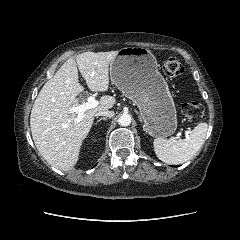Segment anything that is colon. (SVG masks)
Listing matches in <instances>:
<instances>
[{"instance_id": "5ec220e1", "label": "colon", "mask_w": 240, "mask_h": 240, "mask_svg": "<svg viewBox=\"0 0 240 240\" xmlns=\"http://www.w3.org/2000/svg\"><path fill=\"white\" fill-rule=\"evenodd\" d=\"M163 72L168 77L180 76L184 68L178 58L174 56L168 57L163 63ZM181 111L186 119L192 123L200 121L204 116V107L201 103L188 101L182 104Z\"/></svg>"}]
</instances>
